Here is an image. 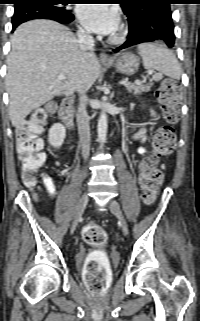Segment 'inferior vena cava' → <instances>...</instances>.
Masks as SVG:
<instances>
[{"label":"inferior vena cava","instance_id":"obj_1","mask_svg":"<svg viewBox=\"0 0 200 321\" xmlns=\"http://www.w3.org/2000/svg\"><path fill=\"white\" fill-rule=\"evenodd\" d=\"M78 45L83 52L93 51L94 49V39L92 35L80 29L77 32ZM79 106L76 115V122L78 126V134L80 140V146L82 149V155L86 160L89 157L90 152V127H89V117L87 114L86 106L89 102V99L86 95L87 88L82 86L79 88Z\"/></svg>","mask_w":200,"mask_h":321}]
</instances>
